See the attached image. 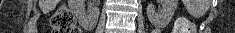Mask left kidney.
I'll use <instances>...</instances> for the list:
<instances>
[{"label": "left kidney", "mask_w": 235, "mask_h": 33, "mask_svg": "<svg viewBox=\"0 0 235 33\" xmlns=\"http://www.w3.org/2000/svg\"><path fill=\"white\" fill-rule=\"evenodd\" d=\"M178 0H162V8L160 11L155 10L153 4H149L146 8L148 19L157 26L167 25L177 8Z\"/></svg>", "instance_id": "1"}]
</instances>
